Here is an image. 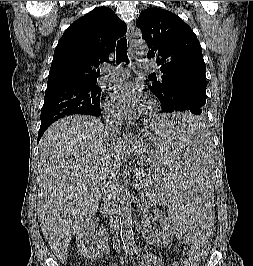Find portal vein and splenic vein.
Listing matches in <instances>:
<instances>
[{
    "label": "portal vein and splenic vein",
    "instance_id": "obj_1",
    "mask_svg": "<svg viewBox=\"0 0 253 266\" xmlns=\"http://www.w3.org/2000/svg\"><path fill=\"white\" fill-rule=\"evenodd\" d=\"M147 186H148V185L146 184V185H145V190H146V193H147V190L149 189V188H147Z\"/></svg>",
    "mask_w": 253,
    "mask_h": 266
}]
</instances>
